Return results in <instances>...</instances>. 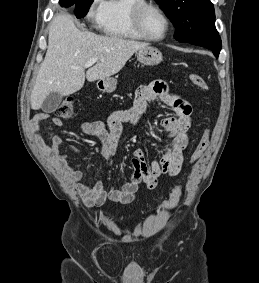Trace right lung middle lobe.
<instances>
[{
	"label": "right lung middle lobe",
	"instance_id": "1",
	"mask_svg": "<svg viewBox=\"0 0 259 283\" xmlns=\"http://www.w3.org/2000/svg\"><path fill=\"white\" fill-rule=\"evenodd\" d=\"M72 1H74V4L76 5L74 13L78 18H82L87 14L88 9L91 3L93 2V0H72Z\"/></svg>",
	"mask_w": 259,
	"mask_h": 283
}]
</instances>
